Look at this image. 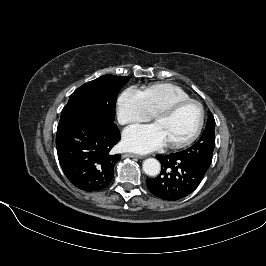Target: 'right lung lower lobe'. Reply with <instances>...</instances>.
<instances>
[{
  "label": "right lung lower lobe",
  "instance_id": "98d812e1",
  "mask_svg": "<svg viewBox=\"0 0 266 266\" xmlns=\"http://www.w3.org/2000/svg\"><path fill=\"white\" fill-rule=\"evenodd\" d=\"M120 140L116 124L66 119L57 128L56 147L67 179L86 192L105 188L113 179L120 154L111 149Z\"/></svg>",
  "mask_w": 266,
  "mask_h": 266
}]
</instances>
